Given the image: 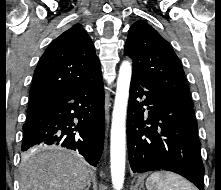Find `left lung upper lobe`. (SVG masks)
I'll return each instance as SVG.
<instances>
[{
	"label": "left lung upper lobe",
	"mask_w": 221,
	"mask_h": 190,
	"mask_svg": "<svg viewBox=\"0 0 221 190\" xmlns=\"http://www.w3.org/2000/svg\"><path fill=\"white\" fill-rule=\"evenodd\" d=\"M124 54L133 61V74L157 84L180 103L194 106L179 58L150 25L137 21L130 27Z\"/></svg>",
	"instance_id": "obj_1"
}]
</instances>
